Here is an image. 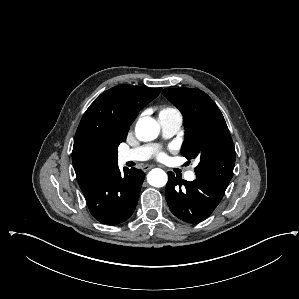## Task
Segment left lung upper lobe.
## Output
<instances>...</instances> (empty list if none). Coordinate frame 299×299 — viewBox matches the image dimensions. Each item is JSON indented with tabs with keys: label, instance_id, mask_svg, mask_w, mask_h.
<instances>
[{
	"label": "left lung upper lobe",
	"instance_id": "5c2ea615",
	"mask_svg": "<svg viewBox=\"0 0 299 299\" xmlns=\"http://www.w3.org/2000/svg\"><path fill=\"white\" fill-rule=\"evenodd\" d=\"M163 94L183 114L182 155L200 160L194 169L197 176L227 188L233 176L235 148L217 105L205 92L193 88L164 89Z\"/></svg>",
	"mask_w": 299,
	"mask_h": 299
}]
</instances>
